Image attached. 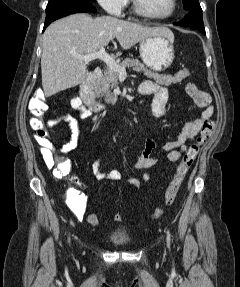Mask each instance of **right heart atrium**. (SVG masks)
<instances>
[{"label": "right heart atrium", "instance_id": "1", "mask_svg": "<svg viewBox=\"0 0 240 287\" xmlns=\"http://www.w3.org/2000/svg\"><path fill=\"white\" fill-rule=\"evenodd\" d=\"M97 1L107 13L113 16L122 15L128 3V0H97Z\"/></svg>", "mask_w": 240, "mask_h": 287}]
</instances>
